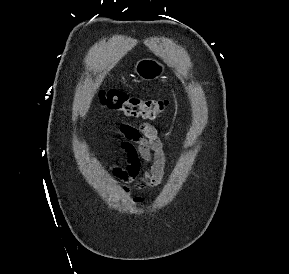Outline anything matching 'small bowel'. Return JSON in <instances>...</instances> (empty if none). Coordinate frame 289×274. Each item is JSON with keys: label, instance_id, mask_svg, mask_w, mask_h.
Returning a JSON list of instances; mask_svg holds the SVG:
<instances>
[{"label": "small bowel", "instance_id": "obj_1", "mask_svg": "<svg viewBox=\"0 0 289 274\" xmlns=\"http://www.w3.org/2000/svg\"><path fill=\"white\" fill-rule=\"evenodd\" d=\"M119 134L117 143L125 155L126 165L112 166V175L122 191L130 196L135 191L159 186L165 176L167 156L163 138L157 128L147 122H141L136 126L122 124ZM142 164L146 165L143 172ZM133 200L140 204L144 198L135 196Z\"/></svg>", "mask_w": 289, "mask_h": 274}]
</instances>
